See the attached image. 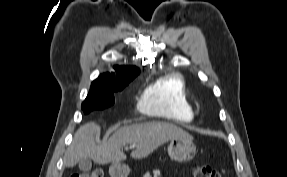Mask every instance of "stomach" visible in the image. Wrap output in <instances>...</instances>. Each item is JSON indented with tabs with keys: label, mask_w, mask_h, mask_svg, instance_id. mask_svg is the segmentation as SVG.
I'll list each match as a JSON object with an SVG mask.
<instances>
[{
	"label": "stomach",
	"mask_w": 287,
	"mask_h": 177,
	"mask_svg": "<svg viewBox=\"0 0 287 177\" xmlns=\"http://www.w3.org/2000/svg\"><path fill=\"white\" fill-rule=\"evenodd\" d=\"M168 154L170 158L177 162H187L196 155V146L192 138H177L171 140L168 146ZM130 168L121 163H112L109 168L111 177H128Z\"/></svg>",
	"instance_id": "stomach-1"
}]
</instances>
